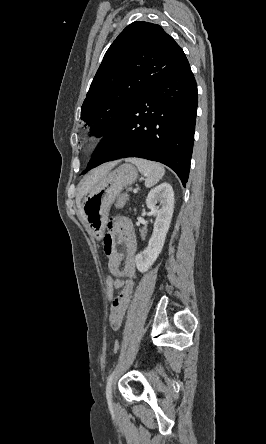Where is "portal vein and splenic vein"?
Returning <instances> with one entry per match:
<instances>
[{"label":"portal vein and splenic vein","instance_id":"18ae733b","mask_svg":"<svg viewBox=\"0 0 266 444\" xmlns=\"http://www.w3.org/2000/svg\"><path fill=\"white\" fill-rule=\"evenodd\" d=\"M133 192H134V193H137V192H138V190H137V189H134V190H133Z\"/></svg>","mask_w":266,"mask_h":444}]
</instances>
